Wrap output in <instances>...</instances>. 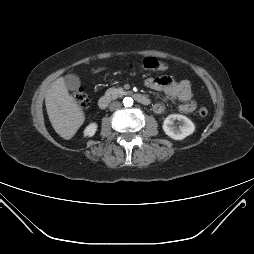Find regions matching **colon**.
Here are the masks:
<instances>
[{
    "label": "colon",
    "mask_w": 254,
    "mask_h": 254,
    "mask_svg": "<svg viewBox=\"0 0 254 254\" xmlns=\"http://www.w3.org/2000/svg\"><path fill=\"white\" fill-rule=\"evenodd\" d=\"M141 66L147 70L165 71L167 69L166 64L155 57H147V58L143 59L141 62ZM73 97H74L76 103L81 108L86 109L89 107V105H90L89 98H88L87 94L83 91L82 88L77 89L73 93ZM198 114L201 117H206L208 114V109L206 107L202 106L199 108Z\"/></svg>",
    "instance_id": "obj_1"
}]
</instances>
